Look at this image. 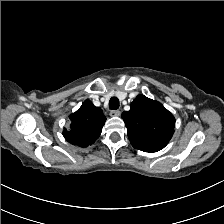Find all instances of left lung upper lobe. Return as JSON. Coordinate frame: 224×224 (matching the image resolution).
<instances>
[{"label": "left lung upper lobe", "mask_w": 224, "mask_h": 224, "mask_svg": "<svg viewBox=\"0 0 224 224\" xmlns=\"http://www.w3.org/2000/svg\"><path fill=\"white\" fill-rule=\"evenodd\" d=\"M122 119L132 146L141 151L163 149L174 133V116L161 103L144 95L135 98Z\"/></svg>", "instance_id": "left-lung-upper-lobe-1"}]
</instances>
